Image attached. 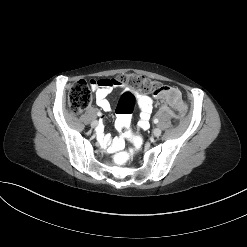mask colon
I'll return each instance as SVG.
<instances>
[{"label": "colon", "instance_id": "1", "mask_svg": "<svg viewBox=\"0 0 247 247\" xmlns=\"http://www.w3.org/2000/svg\"><path fill=\"white\" fill-rule=\"evenodd\" d=\"M117 80L129 88L122 94L116 113L118 129L123 136L130 139V142L127 149L114 153L113 162L119 167H126L140 159L141 152L146 146L145 136L133 134L130 129V118L136 102L135 92H148L155 96H161L165 104L177 108L178 114L183 113L184 107L180 93L175 88L166 87L157 81L135 74L123 75ZM94 84V80L82 79L71 87L68 94V105L72 113L80 114L89 106Z\"/></svg>", "mask_w": 247, "mask_h": 247}]
</instances>
